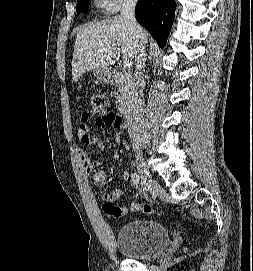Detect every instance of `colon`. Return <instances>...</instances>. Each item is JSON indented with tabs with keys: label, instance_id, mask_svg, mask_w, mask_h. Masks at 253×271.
<instances>
[{
	"label": "colon",
	"instance_id": "1",
	"mask_svg": "<svg viewBox=\"0 0 253 271\" xmlns=\"http://www.w3.org/2000/svg\"><path fill=\"white\" fill-rule=\"evenodd\" d=\"M90 103L92 106V112L94 114H102L105 113V108L107 106V99L103 94L100 93H93L90 96ZM108 117L110 120H114L116 122V118L113 113L109 112ZM106 207H110V205H106ZM130 209L134 212H140L144 214H154L156 213L154 208L147 203L139 204V203H133L130 207Z\"/></svg>",
	"mask_w": 253,
	"mask_h": 271
}]
</instances>
